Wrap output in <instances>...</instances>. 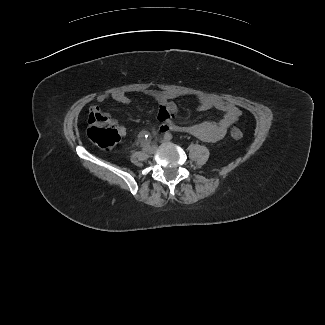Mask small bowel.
I'll use <instances>...</instances> for the list:
<instances>
[{
	"instance_id": "c3829d8e",
	"label": "small bowel",
	"mask_w": 325,
	"mask_h": 325,
	"mask_svg": "<svg viewBox=\"0 0 325 325\" xmlns=\"http://www.w3.org/2000/svg\"><path fill=\"white\" fill-rule=\"evenodd\" d=\"M145 94L159 105L158 120L162 122L163 131L170 130L174 132L188 133L206 142H216L223 138L228 129L238 120L240 116V110L238 107L231 103L208 95H197L195 97L199 103L200 111L217 109L223 113V116L217 122L204 121L196 124L183 125L175 120L178 110L176 100L186 97L187 94L177 91H162L153 89L147 90ZM108 100H114L123 104L132 103V99L122 91L104 93L99 95L96 99L98 104L104 103ZM93 111L100 112L99 106H92L91 112ZM104 115L109 116L108 114ZM119 133L121 136H125L126 129L124 127H119Z\"/></svg>"
}]
</instances>
